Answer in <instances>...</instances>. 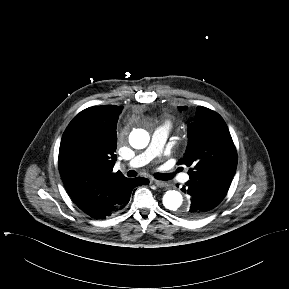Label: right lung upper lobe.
<instances>
[{
    "label": "right lung upper lobe",
    "instance_id": "right-lung-upper-lobe-1",
    "mask_svg": "<svg viewBox=\"0 0 289 289\" xmlns=\"http://www.w3.org/2000/svg\"><path fill=\"white\" fill-rule=\"evenodd\" d=\"M122 106L104 105L80 112L66 128L58 166L72 200L86 214L103 219L113 214L130 182L116 160V124Z\"/></svg>",
    "mask_w": 289,
    "mask_h": 289
}]
</instances>
